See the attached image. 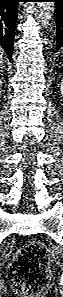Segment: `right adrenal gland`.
<instances>
[{
    "label": "right adrenal gland",
    "instance_id": "right-adrenal-gland-1",
    "mask_svg": "<svg viewBox=\"0 0 63 297\" xmlns=\"http://www.w3.org/2000/svg\"><path fill=\"white\" fill-rule=\"evenodd\" d=\"M2 64H3V63H1V66H2ZM1 71H3V70H2V67H1Z\"/></svg>",
    "mask_w": 63,
    "mask_h": 297
}]
</instances>
